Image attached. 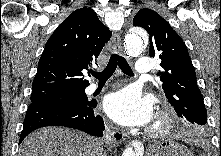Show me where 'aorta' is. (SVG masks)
Masks as SVG:
<instances>
[{
	"instance_id": "762f6f07",
	"label": "aorta",
	"mask_w": 221,
	"mask_h": 156,
	"mask_svg": "<svg viewBox=\"0 0 221 156\" xmlns=\"http://www.w3.org/2000/svg\"><path fill=\"white\" fill-rule=\"evenodd\" d=\"M147 43V33L140 28H132L125 36L124 48L127 55L135 56L143 51ZM122 156H143V149L141 146L138 148L130 146L124 150Z\"/></svg>"
}]
</instances>
